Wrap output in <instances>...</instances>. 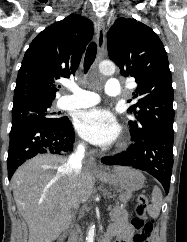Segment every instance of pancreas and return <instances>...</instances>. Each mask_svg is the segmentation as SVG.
<instances>
[{"instance_id": "1", "label": "pancreas", "mask_w": 187, "mask_h": 242, "mask_svg": "<svg viewBox=\"0 0 187 242\" xmlns=\"http://www.w3.org/2000/svg\"><path fill=\"white\" fill-rule=\"evenodd\" d=\"M124 213H126V211L124 209H122L120 207H115L114 209L111 210L110 215H111L112 219L115 220L116 218L123 215Z\"/></svg>"}]
</instances>
